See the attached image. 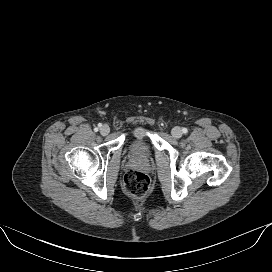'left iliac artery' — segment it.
I'll list each match as a JSON object with an SVG mask.
<instances>
[{"instance_id": "1", "label": "left iliac artery", "mask_w": 272, "mask_h": 272, "mask_svg": "<svg viewBox=\"0 0 272 272\" xmlns=\"http://www.w3.org/2000/svg\"><path fill=\"white\" fill-rule=\"evenodd\" d=\"M182 132L186 134L188 132L187 128H182Z\"/></svg>"}]
</instances>
